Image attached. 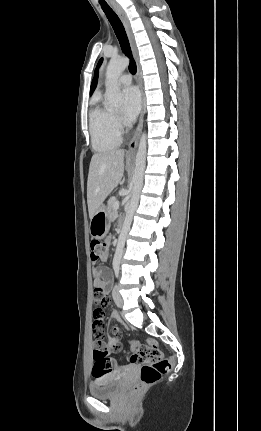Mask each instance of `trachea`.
<instances>
[{
  "instance_id": "1",
  "label": "trachea",
  "mask_w": 261,
  "mask_h": 431,
  "mask_svg": "<svg viewBox=\"0 0 261 431\" xmlns=\"http://www.w3.org/2000/svg\"><path fill=\"white\" fill-rule=\"evenodd\" d=\"M101 7H102L105 15L107 16L116 36L118 38L121 49L123 50L124 54L130 58L129 71L132 74H135L136 73V63L132 57V52H131L130 44L128 41V37L126 35L125 29H124V26H123L121 20L116 15V13L106 3H101Z\"/></svg>"
}]
</instances>
